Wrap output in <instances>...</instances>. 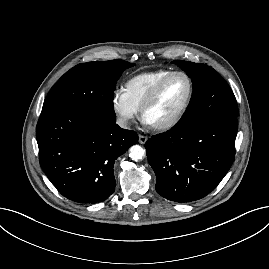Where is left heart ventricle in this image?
Instances as JSON below:
<instances>
[{
    "mask_svg": "<svg viewBox=\"0 0 269 269\" xmlns=\"http://www.w3.org/2000/svg\"><path fill=\"white\" fill-rule=\"evenodd\" d=\"M188 91L189 84L184 76L172 77L163 87L155 104L146 112L145 121L157 124L173 117L185 103Z\"/></svg>",
    "mask_w": 269,
    "mask_h": 269,
    "instance_id": "obj_1",
    "label": "left heart ventricle"
}]
</instances>
